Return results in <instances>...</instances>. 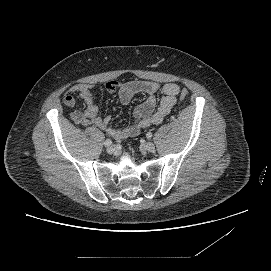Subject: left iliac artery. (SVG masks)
<instances>
[{"instance_id":"left-iliac-artery-1","label":"left iliac artery","mask_w":271,"mask_h":271,"mask_svg":"<svg viewBox=\"0 0 271 271\" xmlns=\"http://www.w3.org/2000/svg\"><path fill=\"white\" fill-rule=\"evenodd\" d=\"M146 136H147L148 139H151L152 133H151V132H148V133L146 134Z\"/></svg>"}]
</instances>
